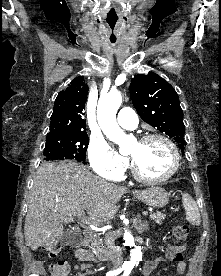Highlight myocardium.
Listing matches in <instances>:
<instances>
[{"mask_svg":"<svg viewBox=\"0 0 221 276\" xmlns=\"http://www.w3.org/2000/svg\"><path fill=\"white\" fill-rule=\"evenodd\" d=\"M154 139H159L163 142H165L167 144V146L169 147L171 153H172V157H173V165L171 170L160 177H148L146 175H144L138 168V166L136 165L135 161L133 159H131V171L132 174L134 175V177L144 183H160V182H164L168 179H170L171 177H173L179 167H180V154H179V150L176 146V144L166 135L160 134V133H151V134H147L144 135L140 138L139 142L140 143H144V142H148L150 140H154Z\"/></svg>","mask_w":221,"mask_h":276,"instance_id":"f54148a6","label":"myocardium"}]
</instances>
